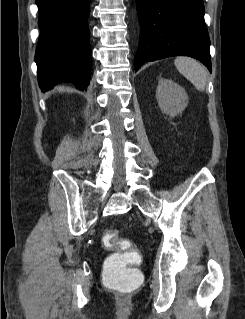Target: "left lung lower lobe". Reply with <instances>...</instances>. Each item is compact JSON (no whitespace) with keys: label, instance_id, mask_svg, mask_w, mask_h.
Instances as JSON below:
<instances>
[{"label":"left lung lower lobe","instance_id":"0a47b994","mask_svg":"<svg viewBox=\"0 0 245 319\" xmlns=\"http://www.w3.org/2000/svg\"><path fill=\"white\" fill-rule=\"evenodd\" d=\"M140 40L134 67L169 56L200 60L211 72L203 0H136Z\"/></svg>","mask_w":245,"mask_h":319}]
</instances>
